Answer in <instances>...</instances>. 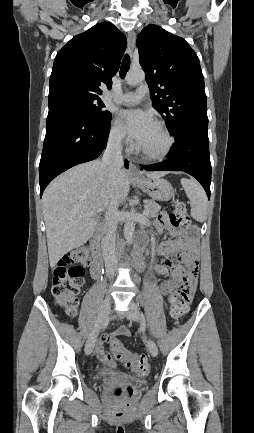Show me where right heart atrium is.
I'll return each instance as SVG.
<instances>
[{"label": "right heart atrium", "mask_w": 254, "mask_h": 433, "mask_svg": "<svg viewBox=\"0 0 254 433\" xmlns=\"http://www.w3.org/2000/svg\"><path fill=\"white\" fill-rule=\"evenodd\" d=\"M109 141L116 147L124 148L130 145V141L118 120L111 123L109 129Z\"/></svg>", "instance_id": "right-heart-atrium-1"}]
</instances>
